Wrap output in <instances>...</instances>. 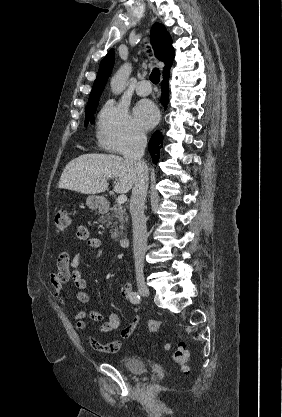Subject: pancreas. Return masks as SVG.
I'll use <instances>...</instances> for the list:
<instances>
[{"label":"pancreas","instance_id":"obj_1","mask_svg":"<svg viewBox=\"0 0 282 417\" xmlns=\"http://www.w3.org/2000/svg\"><path fill=\"white\" fill-rule=\"evenodd\" d=\"M127 221V213L125 209H123L122 204H119V202L113 204L108 215L100 217V223H102V225H106V229H110L111 237L114 241H120V237L123 235L125 223H127Z\"/></svg>","mask_w":282,"mask_h":417}]
</instances>
